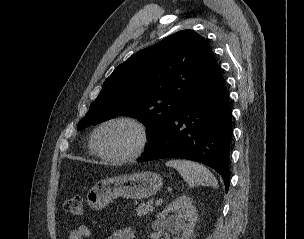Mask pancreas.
I'll return each mask as SVG.
<instances>
[{
	"instance_id": "cf45deb5",
	"label": "pancreas",
	"mask_w": 304,
	"mask_h": 239,
	"mask_svg": "<svg viewBox=\"0 0 304 239\" xmlns=\"http://www.w3.org/2000/svg\"><path fill=\"white\" fill-rule=\"evenodd\" d=\"M153 206H152V202L149 201L147 202V204H139L138 207L136 208V212L138 216H144L150 212L153 211Z\"/></svg>"
}]
</instances>
